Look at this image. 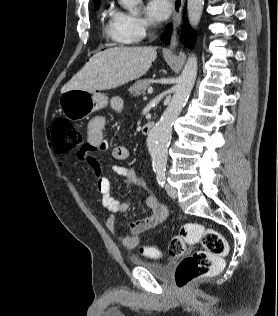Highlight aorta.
<instances>
[{"label": "aorta", "instance_id": "obj_1", "mask_svg": "<svg viewBox=\"0 0 278 316\" xmlns=\"http://www.w3.org/2000/svg\"><path fill=\"white\" fill-rule=\"evenodd\" d=\"M140 2L141 0H120L122 6L132 15L138 14L137 5ZM203 5L204 0H188L187 2L188 20L193 28H196L200 22ZM197 69L196 57L194 55L189 56L176 85L171 102L163 112L160 121L149 132L147 146L152 159L153 169L156 171H164L166 168L172 126L193 89Z\"/></svg>", "mask_w": 278, "mask_h": 316}]
</instances>
